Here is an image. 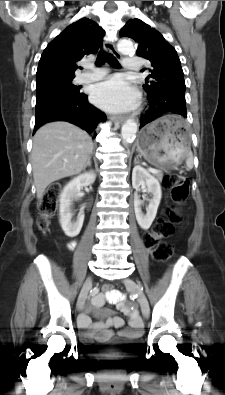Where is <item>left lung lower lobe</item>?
Wrapping results in <instances>:
<instances>
[{"mask_svg": "<svg viewBox=\"0 0 225 395\" xmlns=\"http://www.w3.org/2000/svg\"><path fill=\"white\" fill-rule=\"evenodd\" d=\"M149 96L150 107L142 115L140 128L157 119L165 113H174L181 117H187L185 95L179 92L172 94H152ZM187 133L188 130L186 129Z\"/></svg>", "mask_w": 225, "mask_h": 395, "instance_id": "obj_1", "label": "left lung lower lobe"}]
</instances>
